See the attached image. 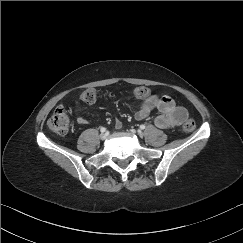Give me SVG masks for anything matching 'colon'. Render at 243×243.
I'll list each match as a JSON object with an SVG mask.
<instances>
[{
	"label": "colon",
	"instance_id": "1",
	"mask_svg": "<svg viewBox=\"0 0 243 243\" xmlns=\"http://www.w3.org/2000/svg\"><path fill=\"white\" fill-rule=\"evenodd\" d=\"M147 94V89L145 87H137L134 90V95L137 98H143ZM80 99L84 103H93L96 99V93L94 89L89 88L84 90L81 95ZM48 129L57 134V135H65L69 130V116L65 108L58 107L54 110L53 114L47 121ZM195 128V122L193 120H187L183 124V130L185 132H191Z\"/></svg>",
	"mask_w": 243,
	"mask_h": 243
}]
</instances>
